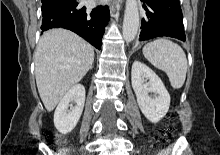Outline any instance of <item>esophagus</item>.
<instances>
[{"label":"esophagus","instance_id":"esophagus-1","mask_svg":"<svg viewBox=\"0 0 220 155\" xmlns=\"http://www.w3.org/2000/svg\"><path fill=\"white\" fill-rule=\"evenodd\" d=\"M123 0H113V2L110 4V11L113 13L116 9V6L119 4H122Z\"/></svg>","mask_w":220,"mask_h":155}]
</instances>
